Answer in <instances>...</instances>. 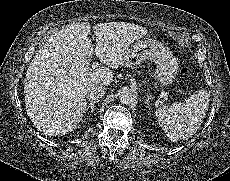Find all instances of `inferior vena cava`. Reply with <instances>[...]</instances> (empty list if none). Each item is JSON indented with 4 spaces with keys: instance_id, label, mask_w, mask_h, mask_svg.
<instances>
[{
    "instance_id": "inferior-vena-cava-1",
    "label": "inferior vena cava",
    "mask_w": 230,
    "mask_h": 181,
    "mask_svg": "<svg viewBox=\"0 0 230 181\" xmlns=\"http://www.w3.org/2000/svg\"><path fill=\"white\" fill-rule=\"evenodd\" d=\"M105 94V88L102 85H96L88 88L85 97L92 101H98Z\"/></svg>"
}]
</instances>
